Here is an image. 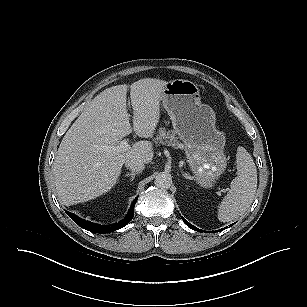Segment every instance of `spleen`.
I'll list each match as a JSON object with an SVG mask.
<instances>
[{"label": "spleen", "mask_w": 307, "mask_h": 307, "mask_svg": "<svg viewBox=\"0 0 307 307\" xmlns=\"http://www.w3.org/2000/svg\"><path fill=\"white\" fill-rule=\"evenodd\" d=\"M237 177L218 209L221 222L232 221L243 215L251 206L257 190V169L251 155L243 147L237 148Z\"/></svg>", "instance_id": "spleen-1"}]
</instances>
